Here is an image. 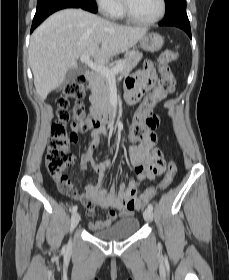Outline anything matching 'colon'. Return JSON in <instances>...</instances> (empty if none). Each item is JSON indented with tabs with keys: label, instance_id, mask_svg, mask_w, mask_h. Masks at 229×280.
Here are the masks:
<instances>
[{
	"label": "colon",
	"instance_id": "colon-1",
	"mask_svg": "<svg viewBox=\"0 0 229 280\" xmlns=\"http://www.w3.org/2000/svg\"><path fill=\"white\" fill-rule=\"evenodd\" d=\"M177 58V53L173 50H164L158 56L159 73L161 75V87L168 93L173 92L174 79L169 63ZM86 81L83 76H77L67 84L64 90L56 99L58 122L52 126L51 136L48 142L46 156V167L51 177L57 182L59 189L66 192L76 191L68 175L63 172L67 165L73 160L70 153V145L79 140V136L89 131L91 123L85 118V111L82 105L85 96ZM70 100H74V105L70 108ZM146 104L153 103V96L145 97ZM70 122L71 130L67 128ZM159 119L156 115L145 114L137 111L133 117L130 129V138L133 141L144 138L148 131L158 126ZM146 169L154 174L162 172L164 168L163 155L159 150L153 151L145 160ZM176 174L174 163L169 164L168 169L155 188H149L141 194L140 199H131L128 205L139 209L143 204L148 203L160 190L169 186Z\"/></svg>",
	"mask_w": 229,
	"mask_h": 280
}]
</instances>
